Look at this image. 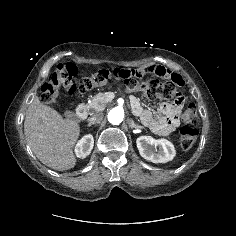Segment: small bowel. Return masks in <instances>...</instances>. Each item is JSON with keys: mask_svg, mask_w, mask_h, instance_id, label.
Returning <instances> with one entry per match:
<instances>
[{"mask_svg": "<svg viewBox=\"0 0 236 236\" xmlns=\"http://www.w3.org/2000/svg\"><path fill=\"white\" fill-rule=\"evenodd\" d=\"M145 74L169 77L178 85L182 83V79L178 75L172 74L164 67L156 65L147 66L143 69H127L118 67L113 72L116 79L129 82L140 81L144 78ZM179 107L163 104L161 110L164 116L156 118L150 111L143 109L137 99L132 100V108L135 114L141 118L142 122L146 126L161 135H169L176 129L177 121L175 114Z\"/></svg>", "mask_w": 236, "mask_h": 236, "instance_id": "1", "label": "small bowel"}]
</instances>
